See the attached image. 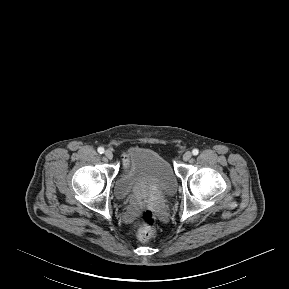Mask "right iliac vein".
Segmentation results:
<instances>
[{
	"mask_svg": "<svg viewBox=\"0 0 289 289\" xmlns=\"http://www.w3.org/2000/svg\"><path fill=\"white\" fill-rule=\"evenodd\" d=\"M104 154H105V157L108 158L109 160L113 158V153L111 150H106Z\"/></svg>",
	"mask_w": 289,
	"mask_h": 289,
	"instance_id": "63e3f726",
	"label": "right iliac vein"
}]
</instances>
